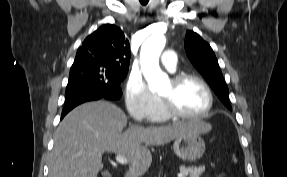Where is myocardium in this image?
Wrapping results in <instances>:
<instances>
[{
    "instance_id": "obj_1",
    "label": "myocardium",
    "mask_w": 287,
    "mask_h": 177,
    "mask_svg": "<svg viewBox=\"0 0 287 177\" xmlns=\"http://www.w3.org/2000/svg\"><path fill=\"white\" fill-rule=\"evenodd\" d=\"M188 81H195L203 87L208 97V103L206 108L199 114L184 113L176 108L173 97L171 95L168 96L159 95L163 109L165 113L168 115V117L177 119H200L206 117L211 112L214 106V94L209 84L200 76L190 73H181L174 76L171 79L174 91H176L180 86H182L184 83Z\"/></svg>"
}]
</instances>
